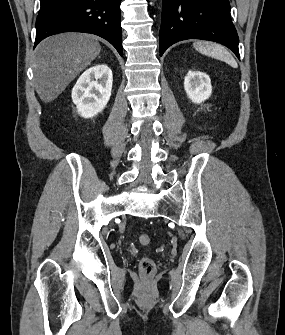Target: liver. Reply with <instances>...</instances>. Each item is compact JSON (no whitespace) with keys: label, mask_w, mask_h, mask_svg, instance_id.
<instances>
[{"label":"liver","mask_w":285,"mask_h":335,"mask_svg":"<svg viewBox=\"0 0 285 335\" xmlns=\"http://www.w3.org/2000/svg\"><path fill=\"white\" fill-rule=\"evenodd\" d=\"M100 52L98 38L92 34L70 32L43 40L33 60V84L40 100L53 102Z\"/></svg>","instance_id":"1"}]
</instances>
